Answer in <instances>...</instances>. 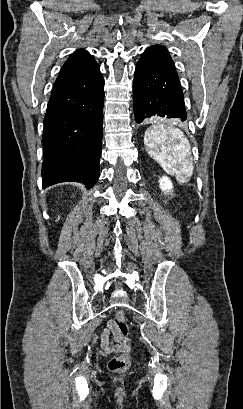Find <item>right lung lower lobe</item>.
<instances>
[{
	"label": "right lung lower lobe",
	"mask_w": 243,
	"mask_h": 409,
	"mask_svg": "<svg viewBox=\"0 0 243 409\" xmlns=\"http://www.w3.org/2000/svg\"><path fill=\"white\" fill-rule=\"evenodd\" d=\"M104 79L99 65L59 74L44 118L43 187L75 181L91 188L99 177Z\"/></svg>",
	"instance_id": "right-lung-lower-lobe-1"
}]
</instances>
